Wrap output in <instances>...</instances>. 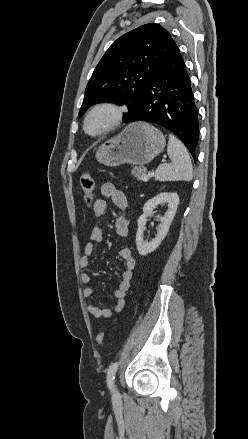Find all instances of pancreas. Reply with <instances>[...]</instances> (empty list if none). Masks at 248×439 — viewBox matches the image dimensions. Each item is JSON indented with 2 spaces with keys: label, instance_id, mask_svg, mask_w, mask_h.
<instances>
[{
  "label": "pancreas",
  "instance_id": "1",
  "mask_svg": "<svg viewBox=\"0 0 248 439\" xmlns=\"http://www.w3.org/2000/svg\"><path fill=\"white\" fill-rule=\"evenodd\" d=\"M145 169L143 167H134L132 169V174L137 177L138 180H142L143 175H145Z\"/></svg>",
  "mask_w": 248,
  "mask_h": 439
}]
</instances>
